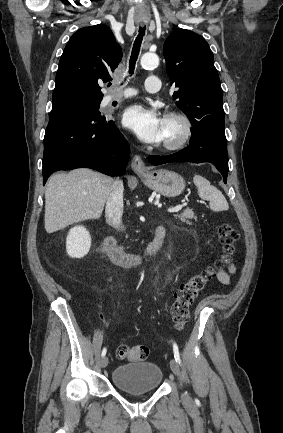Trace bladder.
Listing matches in <instances>:
<instances>
[{"instance_id": "1", "label": "bladder", "mask_w": 283, "mask_h": 433, "mask_svg": "<svg viewBox=\"0 0 283 433\" xmlns=\"http://www.w3.org/2000/svg\"><path fill=\"white\" fill-rule=\"evenodd\" d=\"M162 376L161 368L157 364L136 362L117 367L113 374V383L125 393L146 392L160 387Z\"/></svg>"}]
</instances>
